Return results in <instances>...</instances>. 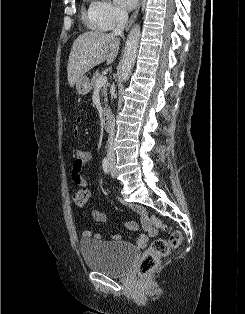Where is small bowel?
Wrapping results in <instances>:
<instances>
[{"label":"small bowel","instance_id":"1","mask_svg":"<svg viewBox=\"0 0 245 314\" xmlns=\"http://www.w3.org/2000/svg\"><path fill=\"white\" fill-rule=\"evenodd\" d=\"M81 123V118L77 117L75 119V124L73 125V132L75 135H78L79 132V124ZM92 159V154L89 151H84V150H78L75 153V157L73 160L72 164V181L81 187H85L87 185L86 179L82 173L83 167L85 164L90 162ZM133 209L140 213L143 216V225L142 229L147 232V234H141L139 237L135 239V244L138 245L139 247H144L146 243L148 242V239L150 236H155L156 235V230L152 228L145 220H144V215H145V210L141 208L140 206H133ZM92 218L96 222H105L106 221V216L105 214L100 211V210H93L92 211ZM127 227L131 230H138L139 227L135 223H128ZM82 237L84 239L87 238H94V239H100L101 235L99 233H93L90 230H85L82 233ZM111 239L114 241H120L121 236L120 235H112Z\"/></svg>","mask_w":245,"mask_h":314}]
</instances>
